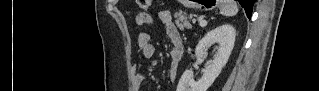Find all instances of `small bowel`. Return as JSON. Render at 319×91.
Here are the masks:
<instances>
[{"instance_id": "small-bowel-1", "label": "small bowel", "mask_w": 319, "mask_h": 91, "mask_svg": "<svg viewBox=\"0 0 319 91\" xmlns=\"http://www.w3.org/2000/svg\"><path fill=\"white\" fill-rule=\"evenodd\" d=\"M158 20L162 23L165 33L171 42V49L169 52L170 63L168 67V76L171 80H175L178 75L179 62L182 59L184 46L182 37L175 26L172 15L169 11H160L157 14ZM140 24H147L151 22L149 15L140 14L138 17ZM138 47L141 54L145 58H152L155 54V46L150 42L149 35L146 33H140L137 38ZM132 81L134 90H142L145 83V76L139 71L138 65H134Z\"/></svg>"}]
</instances>
